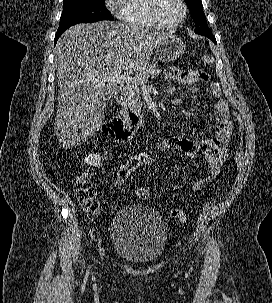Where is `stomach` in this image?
I'll use <instances>...</instances> for the list:
<instances>
[{
	"instance_id": "stomach-1",
	"label": "stomach",
	"mask_w": 272,
	"mask_h": 303,
	"mask_svg": "<svg viewBox=\"0 0 272 303\" xmlns=\"http://www.w3.org/2000/svg\"><path fill=\"white\" fill-rule=\"evenodd\" d=\"M185 48L183 40L171 34L159 44L155 54L159 61L169 62L180 57L184 53Z\"/></svg>"
}]
</instances>
